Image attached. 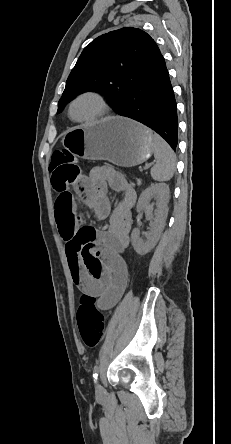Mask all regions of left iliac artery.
<instances>
[{
    "label": "left iliac artery",
    "mask_w": 231,
    "mask_h": 444,
    "mask_svg": "<svg viewBox=\"0 0 231 444\" xmlns=\"http://www.w3.org/2000/svg\"><path fill=\"white\" fill-rule=\"evenodd\" d=\"M98 374H99V368H98V366L96 365V366L94 367V369H93V377H94L95 380H97Z\"/></svg>",
    "instance_id": "obj_1"
}]
</instances>
